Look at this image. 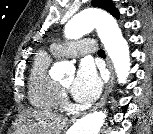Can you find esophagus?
I'll return each mask as SVG.
<instances>
[{
	"instance_id": "1",
	"label": "esophagus",
	"mask_w": 153,
	"mask_h": 134,
	"mask_svg": "<svg viewBox=\"0 0 153 134\" xmlns=\"http://www.w3.org/2000/svg\"><path fill=\"white\" fill-rule=\"evenodd\" d=\"M107 65H108V68H109V71H110V78H109V81H108V83L106 85L105 91H104L101 99L93 107V110H96L99 107H102L104 105L105 100H106L107 96L109 95V93L112 91V88H113V85H114V70H113L112 63H111V61L109 59H107Z\"/></svg>"
}]
</instances>
